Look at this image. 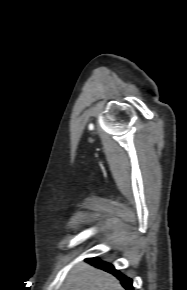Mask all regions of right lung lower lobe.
Instances as JSON below:
<instances>
[{"instance_id":"98d812e1","label":"right lung lower lobe","mask_w":187,"mask_h":290,"mask_svg":"<svg viewBox=\"0 0 187 290\" xmlns=\"http://www.w3.org/2000/svg\"><path fill=\"white\" fill-rule=\"evenodd\" d=\"M89 262L98 268L114 274L121 281L123 287L127 290H134L132 286V280L117 271L111 264L102 262L98 258H92L89 260Z\"/></svg>"}]
</instances>
